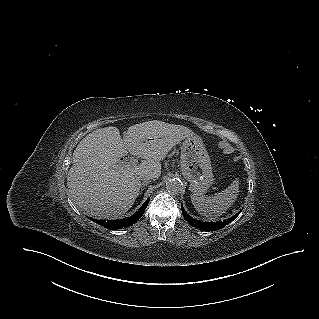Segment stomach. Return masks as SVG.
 <instances>
[{
  "label": "stomach",
  "instance_id": "obj_1",
  "mask_svg": "<svg viewBox=\"0 0 319 319\" xmlns=\"http://www.w3.org/2000/svg\"><path fill=\"white\" fill-rule=\"evenodd\" d=\"M181 172L190 183V190L204 194L214 181L210 157L196 134L186 137L181 146Z\"/></svg>",
  "mask_w": 319,
  "mask_h": 319
}]
</instances>
